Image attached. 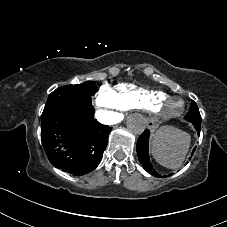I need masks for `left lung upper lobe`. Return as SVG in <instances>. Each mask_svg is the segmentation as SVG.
<instances>
[{
	"label": "left lung upper lobe",
	"mask_w": 227,
	"mask_h": 227,
	"mask_svg": "<svg viewBox=\"0 0 227 227\" xmlns=\"http://www.w3.org/2000/svg\"><path fill=\"white\" fill-rule=\"evenodd\" d=\"M185 119L191 123L201 124V115L194 101L191 102L189 113L186 115Z\"/></svg>",
	"instance_id": "left-lung-upper-lobe-1"
}]
</instances>
